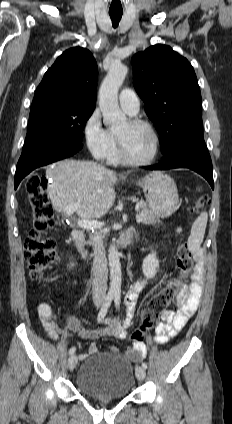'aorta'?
I'll list each match as a JSON object with an SVG mask.
<instances>
[{
    "instance_id": "1",
    "label": "aorta",
    "mask_w": 232,
    "mask_h": 424,
    "mask_svg": "<svg viewBox=\"0 0 232 424\" xmlns=\"http://www.w3.org/2000/svg\"><path fill=\"white\" fill-rule=\"evenodd\" d=\"M128 68L122 64H114L110 67L99 89V106L103 114L104 124L117 127L126 122V116L118 105V90L125 80ZM115 240V239H113ZM110 268V292H121V264L119 252L115 244H111L108 250Z\"/></svg>"
}]
</instances>
